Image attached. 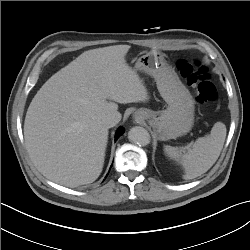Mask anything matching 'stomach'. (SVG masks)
Listing matches in <instances>:
<instances>
[{
    "label": "stomach",
    "instance_id": "obj_1",
    "mask_svg": "<svg viewBox=\"0 0 250 250\" xmlns=\"http://www.w3.org/2000/svg\"><path fill=\"white\" fill-rule=\"evenodd\" d=\"M135 71H142L154 77L160 95L167 103L162 111L139 109L153 128L155 136L162 141L186 135L194 124V100L176 73L167 64L164 54L150 51L138 58Z\"/></svg>",
    "mask_w": 250,
    "mask_h": 250
}]
</instances>
